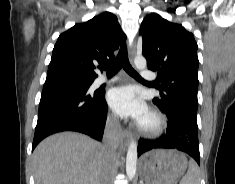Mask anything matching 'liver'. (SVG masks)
<instances>
[{
    "instance_id": "liver-1",
    "label": "liver",
    "mask_w": 235,
    "mask_h": 184,
    "mask_svg": "<svg viewBox=\"0 0 235 184\" xmlns=\"http://www.w3.org/2000/svg\"><path fill=\"white\" fill-rule=\"evenodd\" d=\"M110 160L104 146L88 136L53 134L33 152L35 184H100Z\"/></svg>"
}]
</instances>
